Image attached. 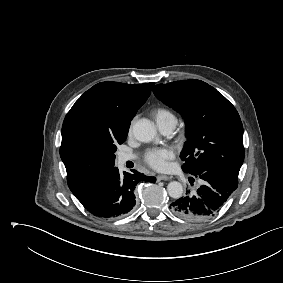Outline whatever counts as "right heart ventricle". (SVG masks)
<instances>
[{"instance_id":"1","label":"right heart ventricle","mask_w":283,"mask_h":283,"mask_svg":"<svg viewBox=\"0 0 283 283\" xmlns=\"http://www.w3.org/2000/svg\"><path fill=\"white\" fill-rule=\"evenodd\" d=\"M153 116L155 118L156 123L160 122V121H164V120H169V119L176 121L174 114L171 111H169L168 109H165V108H158V109L154 110Z\"/></svg>"}]
</instances>
